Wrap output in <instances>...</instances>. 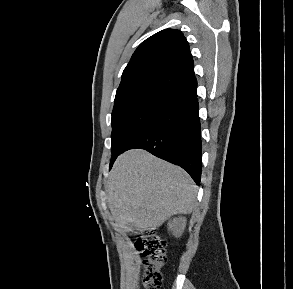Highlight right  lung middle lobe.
Returning a JSON list of instances; mask_svg holds the SVG:
<instances>
[{
	"instance_id": "1",
	"label": "right lung middle lobe",
	"mask_w": 293,
	"mask_h": 289,
	"mask_svg": "<svg viewBox=\"0 0 293 289\" xmlns=\"http://www.w3.org/2000/svg\"><path fill=\"white\" fill-rule=\"evenodd\" d=\"M176 105L155 96H138L114 104L112 112V155L123 149L156 119Z\"/></svg>"
}]
</instances>
